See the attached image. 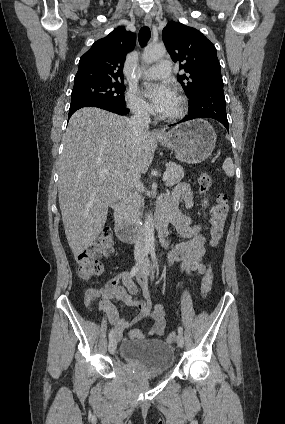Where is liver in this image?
<instances>
[{
    "mask_svg": "<svg viewBox=\"0 0 285 424\" xmlns=\"http://www.w3.org/2000/svg\"><path fill=\"white\" fill-rule=\"evenodd\" d=\"M148 131L136 139L129 118L95 108L70 118L59 160L58 197L69 246L75 256L101 233L110 204L124 197L152 163ZM109 170L101 176L103 170Z\"/></svg>",
    "mask_w": 285,
    "mask_h": 424,
    "instance_id": "obj_1",
    "label": "liver"
}]
</instances>
